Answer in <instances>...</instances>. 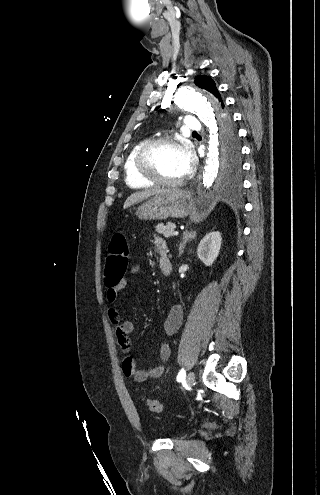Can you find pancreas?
I'll list each match as a JSON object with an SVG mask.
<instances>
[{
  "instance_id": "obj_1",
  "label": "pancreas",
  "mask_w": 320,
  "mask_h": 495,
  "mask_svg": "<svg viewBox=\"0 0 320 495\" xmlns=\"http://www.w3.org/2000/svg\"><path fill=\"white\" fill-rule=\"evenodd\" d=\"M155 228L159 234H162L164 237H170L173 236L176 226L174 223L168 222L166 224L159 223Z\"/></svg>"
}]
</instances>
